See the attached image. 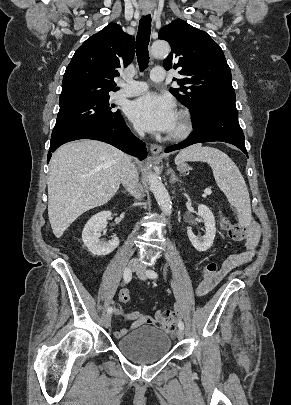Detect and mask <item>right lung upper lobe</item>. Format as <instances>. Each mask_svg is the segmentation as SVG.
<instances>
[{
	"label": "right lung upper lobe",
	"instance_id": "cb5924a9",
	"mask_svg": "<svg viewBox=\"0 0 291 405\" xmlns=\"http://www.w3.org/2000/svg\"><path fill=\"white\" fill-rule=\"evenodd\" d=\"M134 42V37L116 23L89 37L66 68L60 101L104 97L118 90L114 78L119 75L120 66L126 67L132 61Z\"/></svg>",
	"mask_w": 291,
	"mask_h": 405
}]
</instances>
